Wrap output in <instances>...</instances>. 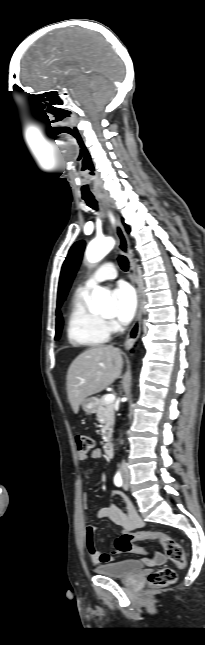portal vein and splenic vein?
Masks as SVG:
<instances>
[{"mask_svg": "<svg viewBox=\"0 0 205 645\" xmlns=\"http://www.w3.org/2000/svg\"><path fill=\"white\" fill-rule=\"evenodd\" d=\"M104 400H105L106 402H108V403L114 402V400H115V395H114V394H107V395L104 397Z\"/></svg>", "mask_w": 205, "mask_h": 645, "instance_id": "portal-vein-and-splenic-vein-1", "label": "portal vein and splenic vein"}]
</instances>
